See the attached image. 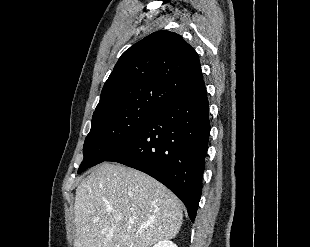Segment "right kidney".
Segmentation results:
<instances>
[{
	"label": "right kidney",
	"instance_id": "ca27d5eb",
	"mask_svg": "<svg viewBox=\"0 0 310 247\" xmlns=\"http://www.w3.org/2000/svg\"><path fill=\"white\" fill-rule=\"evenodd\" d=\"M153 247H178V246L170 240H162L157 244H155Z\"/></svg>",
	"mask_w": 310,
	"mask_h": 247
}]
</instances>
